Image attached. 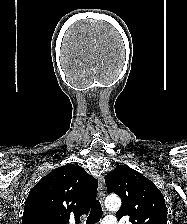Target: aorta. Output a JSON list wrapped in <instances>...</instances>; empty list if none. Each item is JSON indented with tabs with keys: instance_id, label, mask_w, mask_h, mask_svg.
<instances>
[{
	"instance_id": "obj_1",
	"label": "aorta",
	"mask_w": 187,
	"mask_h": 224,
	"mask_svg": "<svg viewBox=\"0 0 187 224\" xmlns=\"http://www.w3.org/2000/svg\"><path fill=\"white\" fill-rule=\"evenodd\" d=\"M121 206V199L118 196H108L105 200V207L109 211H117Z\"/></svg>"
}]
</instances>
